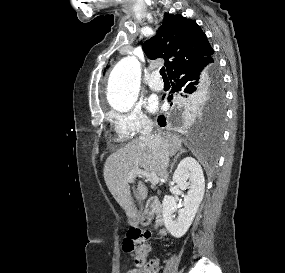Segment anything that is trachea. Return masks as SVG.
Returning <instances> with one entry per match:
<instances>
[{
  "mask_svg": "<svg viewBox=\"0 0 285 273\" xmlns=\"http://www.w3.org/2000/svg\"><path fill=\"white\" fill-rule=\"evenodd\" d=\"M160 74H161V76H162L163 79H168V78H167V75H166L165 67H162V68L160 69Z\"/></svg>",
  "mask_w": 285,
  "mask_h": 273,
  "instance_id": "obj_1",
  "label": "trachea"
}]
</instances>
